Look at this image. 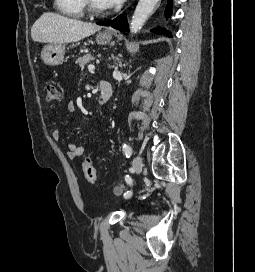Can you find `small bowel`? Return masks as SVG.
Returning a JSON list of instances; mask_svg holds the SVG:
<instances>
[{"label":"small bowel","mask_w":255,"mask_h":272,"mask_svg":"<svg viewBox=\"0 0 255 272\" xmlns=\"http://www.w3.org/2000/svg\"><path fill=\"white\" fill-rule=\"evenodd\" d=\"M67 111H68V116L64 118L58 125V127L51 133V137L54 141H60L62 132L65 129L66 126H68L71 121H72V116L76 112V106L74 103L70 102L67 105ZM85 152V148L81 145L75 144V143H69L67 145V157L70 160H75L81 155H83Z\"/></svg>","instance_id":"c3829d8e"}]
</instances>
